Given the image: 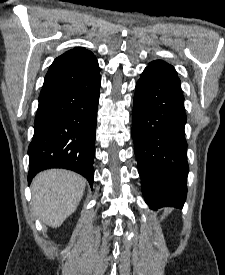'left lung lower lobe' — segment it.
<instances>
[{
  "label": "left lung lower lobe",
  "instance_id": "1",
  "mask_svg": "<svg viewBox=\"0 0 225 275\" xmlns=\"http://www.w3.org/2000/svg\"><path fill=\"white\" fill-rule=\"evenodd\" d=\"M181 86L145 69L137 82L132 137L146 203L182 208L188 176Z\"/></svg>",
  "mask_w": 225,
  "mask_h": 275
}]
</instances>
